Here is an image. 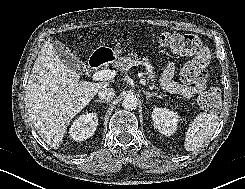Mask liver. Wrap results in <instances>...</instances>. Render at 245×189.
Listing matches in <instances>:
<instances>
[{"label":"liver","instance_id":"1","mask_svg":"<svg viewBox=\"0 0 245 189\" xmlns=\"http://www.w3.org/2000/svg\"><path fill=\"white\" fill-rule=\"evenodd\" d=\"M109 82L80 81L53 48L51 38L35 60L26 88V106L39 136L57 149L67 125Z\"/></svg>","mask_w":245,"mask_h":189}]
</instances>
